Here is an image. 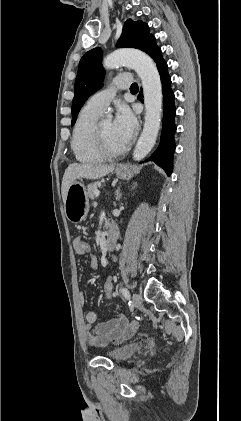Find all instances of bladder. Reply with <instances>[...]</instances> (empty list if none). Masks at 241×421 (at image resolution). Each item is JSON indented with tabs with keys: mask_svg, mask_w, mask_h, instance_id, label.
Returning a JSON list of instances; mask_svg holds the SVG:
<instances>
[{
	"mask_svg": "<svg viewBox=\"0 0 241 421\" xmlns=\"http://www.w3.org/2000/svg\"><path fill=\"white\" fill-rule=\"evenodd\" d=\"M141 348V345L136 342H132L121 347H118L108 353L109 358L113 361H125L131 358Z\"/></svg>",
	"mask_w": 241,
	"mask_h": 421,
	"instance_id": "31cf9c89",
	"label": "bladder"
}]
</instances>
